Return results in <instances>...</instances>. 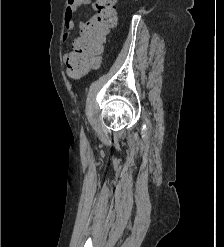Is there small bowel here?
I'll use <instances>...</instances> for the list:
<instances>
[{"mask_svg":"<svg viewBox=\"0 0 224 247\" xmlns=\"http://www.w3.org/2000/svg\"><path fill=\"white\" fill-rule=\"evenodd\" d=\"M81 6H89L93 9L96 8V4L93 2V0H69L68 5L66 7L65 13H64V19L63 24L65 28V33L62 36V43L65 46H69L71 50L68 53L67 61H69L76 53L77 51V39L70 42V32L75 27V19L74 15L76 10ZM85 22L79 23V28L82 30L85 27Z\"/></svg>","mask_w":224,"mask_h":247,"instance_id":"1","label":"small bowel"}]
</instances>
